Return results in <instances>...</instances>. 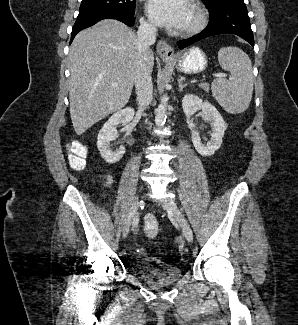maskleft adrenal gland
Masks as SVG:
<instances>
[{
  "instance_id": "1",
  "label": "left adrenal gland",
  "mask_w": 298,
  "mask_h": 325,
  "mask_svg": "<svg viewBox=\"0 0 298 325\" xmlns=\"http://www.w3.org/2000/svg\"><path fill=\"white\" fill-rule=\"evenodd\" d=\"M179 90H183L185 86H188V82H183V80H178Z\"/></svg>"
}]
</instances>
